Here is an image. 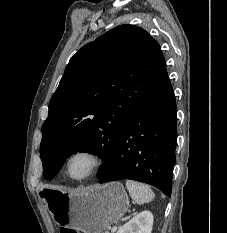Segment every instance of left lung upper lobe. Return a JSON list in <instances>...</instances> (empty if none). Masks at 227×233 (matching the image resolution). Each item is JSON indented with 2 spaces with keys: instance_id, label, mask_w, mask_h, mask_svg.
<instances>
[{
  "instance_id": "1",
  "label": "left lung upper lobe",
  "mask_w": 227,
  "mask_h": 233,
  "mask_svg": "<svg viewBox=\"0 0 227 233\" xmlns=\"http://www.w3.org/2000/svg\"><path fill=\"white\" fill-rule=\"evenodd\" d=\"M161 48L145 30L120 25L83 46L69 61L42 127L43 174L52 179L78 151L97 153L108 168L133 113L166 83Z\"/></svg>"
}]
</instances>
